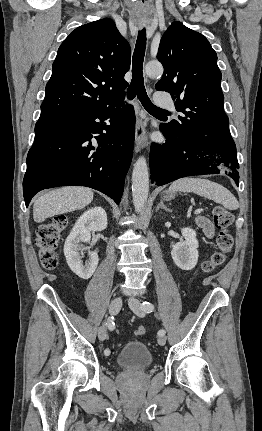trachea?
Returning a JSON list of instances; mask_svg holds the SVG:
<instances>
[{"label": "trachea", "instance_id": "obj_1", "mask_svg": "<svg viewBox=\"0 0 262 431\" xmlns=\"http://www.w3.org/2000/svg\"><path fill=\"white\" fill-rule=\"evenodd\" d=\"M146 49V30L145 28L138 32L136 46L132 59V81L128 88V98L132 100L136 95L141 101L144 108L152 113L168 114V111L155 106L149 99L144 86L143 78V61Z\"/></svg>", "mask_w": 262, "mask_h": 431}]
</instances>
